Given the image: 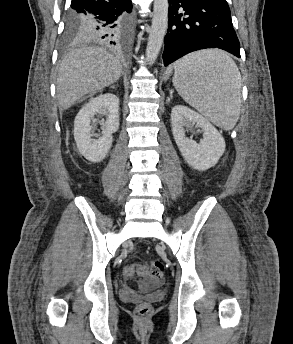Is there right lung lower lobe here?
<instances>
[{
    "label": "right lung lower lobe",
    "mask_w": 293,
    "mask_h": 344,
    "mask_svg": "<svg viewBox=\"0 0 293 344\" xmlns=\"http://www.w3.org/2000/svg\"><path fill=\"white\" fill-rule=\"evenodd\" d=\"M71 8L86 17L81 27L83 41L118 45L125 40L131 0H72Z\"/></svg>",
    "instance_id": "right-lung-lower-lobe-1"
}]
</instances>
